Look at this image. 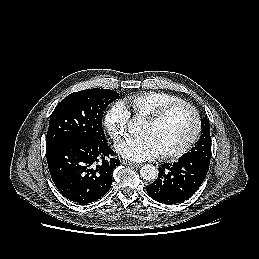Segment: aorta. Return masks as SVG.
<instances>
[{
  "label": "aorta",
  "instance_id": "1",
  "mask_svg": "<svg viewBox=\"0 0 259 259\" xmlns=\"http://www.w3.org/2000/svg\"><path fill=\"white\" fill-rule=\"evenodd\" d=\"M128 128L131 134H137L139 132V126L136 118L129 122ZM140 175L145 181H153L158 176V170L155 166L147 164L140 169Z\"/></svg>",
  "mask_w": 259,
  "mask_h": 259
}]
</instances>
